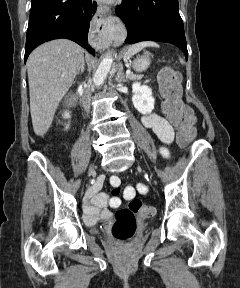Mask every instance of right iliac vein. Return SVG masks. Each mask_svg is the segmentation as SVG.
Segmentation results:
<instances>
[{
	"mask_svg": "<svg viewBox=\"0 0 240 288\" xmlns=\"http://www.w3.org/2000/svg\"><path fill=\"white\" fill-rule=\"evenodd\" d=\"M93 173V166H90L89 168V172H88V176H91Z\"/></svg>",
	"mask_w": 240,
	"mask_h": 288,
	"instance_id": "1",
	"label": "right iliac vein"
}]
</instances>
